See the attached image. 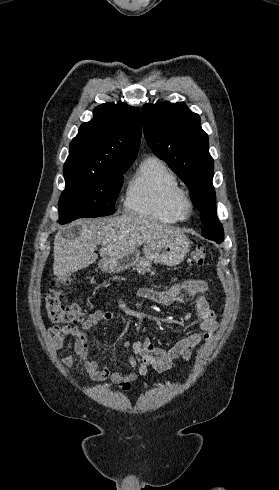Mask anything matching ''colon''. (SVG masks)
Returning a JSON list of instances; mask_svg holds the SVG:
<instances>
[{"label":"colon","instance_id":"5ec220e1","mask_svg":"<svg viewBox=\"0 0 279 490\" xmlns=\"http://www.w3.org/2000/svg\"><path fill=\"white\" fill-rule=\"evenodd\" d=\"M206 251L207 248L205 244H198L189 255V264L197 267L203 266ZM73 280L74 278L70 274L60 277L44 296V308L48 314L49 320L52 323L72 326L81 323L84 319V309L81 305L74 303L70 306H65L61 298L59 285L69 284Z\"/></svg>","mask_w":279,"mask_h":490}]
</instances>
